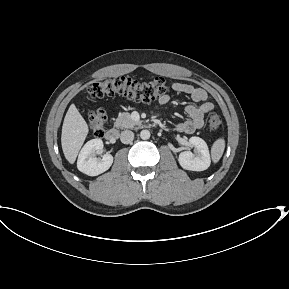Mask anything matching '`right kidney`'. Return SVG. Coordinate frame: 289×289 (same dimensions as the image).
Returning <instances> with one entry per match:
<instances>
[{
  "label": "right kidney",
  "mask_w": 289,
  "mask_h": 289,
  "mask_svg": "<svg viewBox=\"0 0 289 289\" xmlns=\"http://www.w3.org/2000/svg\"><path fill=\"white\" fill-rule=\"evenodd\" d=\"M102 148L103 141L101 139L88 141L79 153L77 160L78 170L89 176H97L107 171L113 163V156L105 154L102 159L96 158L95 153Z\"/></svg>",
  "instance_id": "right-kidney-1"
}]
</instances>
